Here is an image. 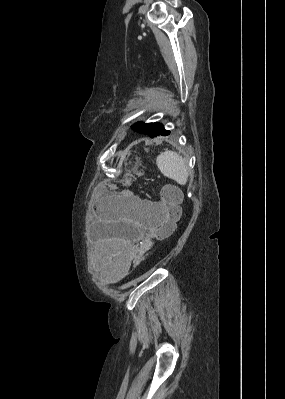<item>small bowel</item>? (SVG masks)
Here are the masks:
<instances>
[{"mask_svg":"<svg viewBox=\"0 0 285 399\" xmlns=\"http://www.w3.org/2000/svg\"><path fill=\"white\" fill-rule=\"evenodd\" d=\"M170 188L180 193L177 188ZM163 201V197L161 201H146L133 196L131 204L125 208L124 217L121 220L124 225L123 237L120 239L110 266V271L115 277L122 278L126 275L134 261L135 246L152 236L165 221V214L160 210Z\"/></svg>","mask_w":285,"mask_h":399,"instance_id":"1","label":"small bowel"}]
</instances>
